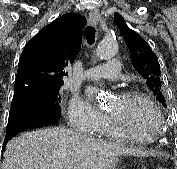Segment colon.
<instances>
[{"label":"colon","instance_id":"5ec220e1","mask_svg":"<svg viewBox=\"0 0 177 169\" xmlns=\"http://www.w3.org/2000/svg\"><path fill=\"white\" fill-rule=\"evenodd\" d=\"M156 169H166V168H163V167H159V168H156Z\"/></svg>","mask_w":177,"mask_h":169}]
</instances>
